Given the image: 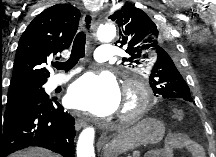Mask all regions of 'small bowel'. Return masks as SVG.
<instances>
[{
	"mask_svg": "<svg viewBox=\"0 0 216 157\" xmlns=\"http://www.w3.org/2000/svg\"><path fill=\"white\" fill-rule=\"evenodd\" d=\"M177 149L186 150L192 157L205 156L203 148L193 138L183 134L171 133L168 135L159 157H173Z\"/></svg>",
	"mask_w": 216,
	"mask_h": 157,
	"instance_id": "obj_1",
	"label": "small bowel"
}]
</instances>
